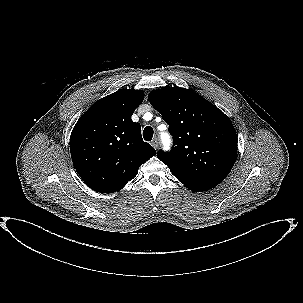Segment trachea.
<instances>
[{"instance_id":"trachea-1","label":"trachea","mask_w":303,"mask_h":303,"mask_svg":"<svg viewBox=\"0 0 303 303\" xmlns=\"http://www.w3.org/2000/svg\"><path fill=\"white\" fill-rule=\"evenodd\" d=\"M153 134H154V131H153L152 127H150V126L145 127V129L143 130L144 140L151 141L153 138Z\"/></svg>"}]
</instances>
